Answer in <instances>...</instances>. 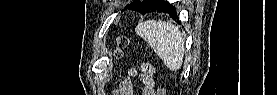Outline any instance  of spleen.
Here are the masks:
<instances>
[{
    "instance_id": "1",
    "label": "spleen",
    "mask_w": 277,
    "mask_h": 95,
    "mask_svg": "<svg viewBox=\"0 0 277 95\" xmlns=\"http://www.w3.org/2000/svg\"><path fill=\"white\" fill-rule=\"evenodd\" d=\"M135 31L153 48L170 70L177 71L181 68L184 38L177 26L161 20H147L140 22Z\"/></svg>"
}]
</instances>
